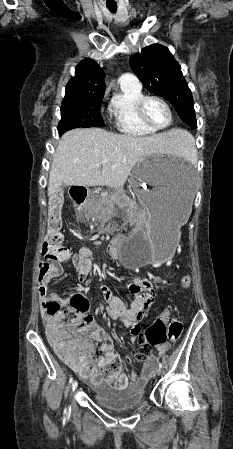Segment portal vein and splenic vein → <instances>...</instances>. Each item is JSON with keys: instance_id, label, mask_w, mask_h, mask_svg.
<instances>
[{"instance_id": "portal-vein-and-splenic-vein-1", "label": "portal vein and splenic vein", "mask_w": 233, "mask_h": 449, "mask_svg": "<svg viewBox=\"0 0 233 449\" xmlns=\"http://www.w3.org/2000/svg\"><path fill=\"white\" fill-rule=\"evenodd\" d=\"M108 160L107 159H104L103 161H102V163H106Z\"/></svg>"}]
</instances>
